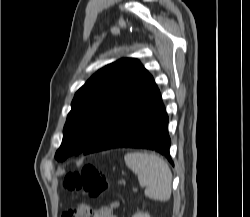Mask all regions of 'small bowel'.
I'll list each match as a JSON object with an SVG mask.
<instances>
[{
	"mask_svg": "<svg viewBox=\"0 0 250 217\" xmlns=\"http://www.w3.org/2000/svg\"><path fill=\"white\" fill-rule=\"evenodd\" d=\"M119 203L114 202L110 207H102L96 213L93 214V217H116L113 214V209L118 207ZM70 217H81L79 213L73 212Z\"/></svg>",
	"mask_w": 250,
	"mask_h": 217,
	"instance_id": "1",
	"label": "small bowel"
}]
</instances>
